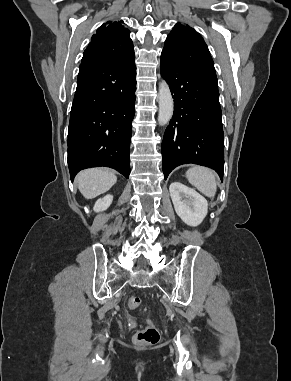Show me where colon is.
<instances>
[{
  "instance_id": "obj_1",
  "label": "colon",
  "mask_w": 291,
  "mask_h": 381,
  "mask_svg": "<svg viewBox=\"0 0 291 381\" xmlns=\"http://www.w3.org/2000/svg\"><path fill=\"white\" fill-rule=\"evenodd\" d=\"M140 299L137 296H130L127 299V305L130 309H135L139 306ZM160 333L157 327L151 322L148 321L146 327L139 330L135 334V342L140 345H153L159 341Z\"/></svg>"
}]
</instances>
